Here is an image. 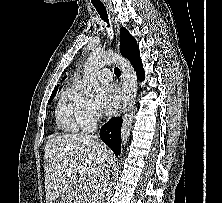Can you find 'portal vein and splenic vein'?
Wrapping results in <instances>:
<instances>
[{
    "label": "portal vein and splenic vein",
    "instance_id": "1",
    "mask_svg": "<svg viewBox=\"0 0 222 203\" xmlns=\"http://www.w3.org/2000/svg\"><path fill=\"white\" fill-rule=\"evenodd\" d=\"M82 188L87 192V191L92 190L94 187L91 182H85L83 183Z\"/></svg>",
    "mask_w": 222,
    "mask_h": 203
}]
</instances>
